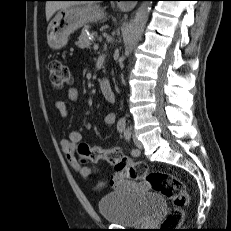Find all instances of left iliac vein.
Segmentation results:
<instances>
[{
    "instance_id": "left-iliac-vein-1",
    "label": "left iliac vein",
    "mask_w": 231,
    "mask_h": 231,
    "mask_svg": "<svg viewBox=\"0 0 231 231\" xmlns=\"http://www.w3.org/2000/svg\"><path fill=\"white\" fill-rule=\"evenodd\" d=\"M133 141H134V144L136 145V147L138 149H142V143L141 141L138 140V138L136 136L133 135Z\"/></svg>"
}]
</instances>
